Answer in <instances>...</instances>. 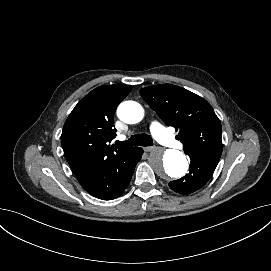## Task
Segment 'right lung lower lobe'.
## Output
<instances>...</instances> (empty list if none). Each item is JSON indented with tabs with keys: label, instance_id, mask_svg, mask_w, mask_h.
<instances>
[{
	"label": "right lung lower lobe",
	"instance_id": "98d812e1",
	"mask_svg": "<svg viewBox=\"0 0 271 271\" xmlns=\"http://www.w3.org/2000/svg\"><path fill=\"white\" fill-rule=\"evenodd\" d=\"M143 149L134 147L127 154L110 161L81 186L92 196L102 200L119 197L127 188Z\"/></svg>",
	"mask_w": 271,
	"mask_h": 271
}]
</instances>
